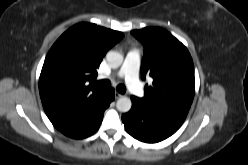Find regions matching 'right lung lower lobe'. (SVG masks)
Returning a JSON list of instances; mask_svg holds the SVG:
<instances>
[{
	"mask_svg": "<svg viewBox=\"0 0 248 165\" xmlns=\"http://www.w3.org/2000/svg\"><path fill=\"white\" fill-rule=\"evenodd\" d=\"M114 100V89L107 90L105 99L99 104V106L79 121L70 124L68 126L58 129L66 136L75 139H81L94 134L103 119L104 111L109 107L110 103Z\"/></svg>",
	"mask_w": 248,
	"mask_h": 165,
	"instance_id": "right-lung-lower-lobe-1",
	"label": "right lung lower lobe"
}]
</instances>
